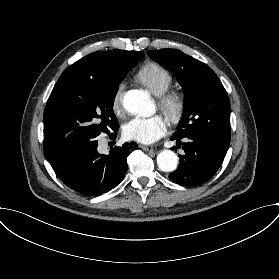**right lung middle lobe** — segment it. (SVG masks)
<instances>
[{
	"label": "right lung middle lobe",
	"mask_w": 279,
	"mask_h": 279,
	"mask_svg": "<svg viewBox=\"0 0 279 279\" xmlns=\"http://www.w3.org/2000/svg\"><path fill=\"white\" fill-rule=\"evenodd\" d=\"M141 58L100 78L65 77L54 86L44 111V152L49 161L119 129L113 103L119 83Z\"/></svg>",
	"instance_id": "dd1d6c3e"
}]
</instances>
